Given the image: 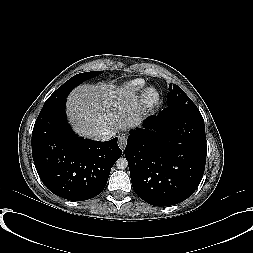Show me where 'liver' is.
I'll use <instances>...</instances> for the list:
<instances>
[{
	"label": "liver",
	"mask_w": 253,
	"mask_h": 253,
	"mask_svg": "<svg viewBox=\"0 0 253 253\" xmlns=\"http://www.w3.org/2000/svg\"><path fill=\"white\" fill-rule=\"evenodd\" d=\"M66 112L74 130L91 139L139 126L142 121L141 103L133 90L106 83L76 87L68 97Z\"/></svg>",
	"instance_id": "6515ba94"
}]
</instances>
